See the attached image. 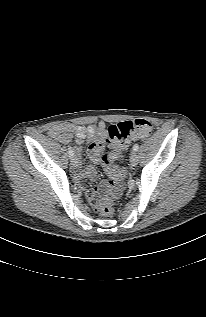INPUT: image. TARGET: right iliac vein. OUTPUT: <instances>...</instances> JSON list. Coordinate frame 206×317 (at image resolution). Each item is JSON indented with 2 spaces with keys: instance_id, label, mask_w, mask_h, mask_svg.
Masks as SVG:
<instances>
[{
  "instance_id": "right-iliac-vein-1",
  "label": "right iliac vein",
  "mask_w": 206,
  "mask_h": 317,
  "mask_svg": "<svg viewBox=\"0 0 206 317\" xmlns=\"http://www.w3.org/2000/svg\"><path fill=\"white\" fill-rule=\"evenodd\" d=\"M71 165L73 166V167H77V165H78V162H77V159L75 158V157H73V158H71Z\"/></svg>"
}]
</instances>
